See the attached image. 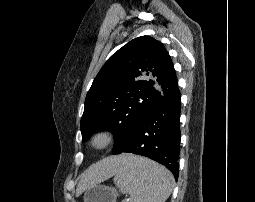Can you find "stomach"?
I'll return each instance as SVG.
<instances>
[{
  "label": "stomach",
  "mask_w": 255,
  "mask_h": 202,
  "mask_svg": "<svg viewBox=\"0 0 255 202\" xmlns=\"http://www.w3.org/2000/svg\"><path fill=\"white\" fill-rule=\"evenodd\" d=\"M117 191L105 185L95 184L85 190L84 202H116Z\"/></svg>",
  "instance_id": "1"
}]
</instances>
